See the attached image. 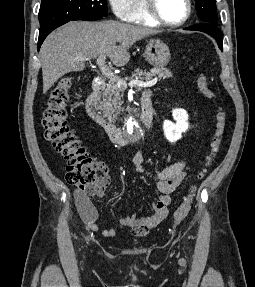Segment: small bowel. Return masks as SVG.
Instances as JSON below:
<instances>
[{
    "label": "small bowel",
    "mask_w": 255,
    "mask_h": 287,
    "mask_svg": "<svg viewBox=\"0 0 255 287\" xmlns=\"http://www.w3.org/2000/svg\"><path fill=\"white\" fill-rule=\"evenodd\" d=\"M132 161L135 171L140 175H145L143 152L137 151ZM185 175V162L183 161H177L158 171L153 177V182L160 195L153 204L152 214L145 218H139L136 214L121 216L118 218L120 225L131 228L132 233L136 236L144 235L152 228L160 225L169 213L172 194L182 184ZM110 179V172L105 167H102L101 175L93 188L86 193L78 189L74 190L79 215L86 226L92 231H99V225L97 222L98 212L91 199L95 196L102 197L104 195ZM101 234L104 237H115L118 232L114 228H107L103 229Z\"/></svg>",
    "instance_id": "1"
}]
</instances>
